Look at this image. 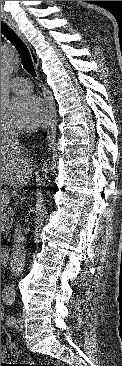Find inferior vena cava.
Listing matches in <instances>:
<instances>
[{"mask_svg":"<svg viewBox=\"0 0 122 366\" xmlns=\"http://www.w3.org/2000/svg\"><path fill=\"white\" fill-rule=\"evenodd\" d=\"M3 136L7 141L8 147L15 148L16 150L22 149L18 141V132H5ZM24 241L25 237L22 234V227L20 223H17L14 231V242L11 254V267L13 272L15 271V265L21 261L23 262L25 259Z\"/></svg>","mask_w":122,"mask_h":366,"instance_id":"inferior-vena-cava-1","label":"inferior vena cava"}]
</instances>
